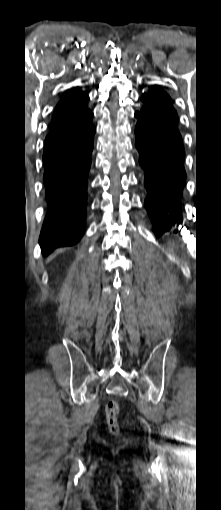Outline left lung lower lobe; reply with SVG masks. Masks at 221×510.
Listing matches in <instances>:
<instances>
[{
    "instance_id": "1",
    "label": "left lung lower lobe",
    "mask_w": 221,
    "mask_h": 510,
    "mask_svg": "<svg viewBox=\"0 0 221 510\" xmlns=\"http://www.w3.org/2000/svg\"><path fill=\"white\" fill-rule=\"evenodd\" d=\"M136 148L144 170V185L148 192L145 207L159 237L175 223H182L178 201L186 179L184 148L180 135L168 132L146 114L135 112ZM175 233L177 230L174 231Z\"/></svg>"
}]
</instances>
